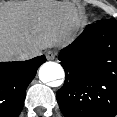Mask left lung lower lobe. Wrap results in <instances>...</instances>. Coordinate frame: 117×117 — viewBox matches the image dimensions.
<instances>
[{
	"label": "left lung lower lobe",
	"instance_id": "obj_1",
	"mask_svg": "<svg viewBox=\"0 0 117 117\" xmlns=\"http://www.w3.org/2000/svg\"><path fill=\"white\" fill-rule=\"evenodd\" d=\"M65 82L56 98L65 117H114L117 114V21L88 25L61 50Z\"/></svg>",
	"mask_w": 117,
	"mask_h": 117
}]
</instances>
